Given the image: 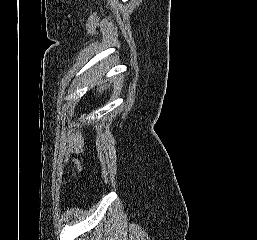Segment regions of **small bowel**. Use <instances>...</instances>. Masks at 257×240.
I'll return each mask as SVG.
<instances>
[{"label": "small bowel", "instance_id": "small-bowel-1", "mask_svg": "<svg viewBox=\"0 0 257 240\" xmlns=\"http://www.w3.org/2000/svg\"><path fill=\"white\" fill-rule=\"evenodd\" d=\"M70 149L75 154H80L83 151V139L80 136H76L71 140ZM74 162L80 167V161L75 159Z\"/></svg>", "mask_w": 257, "mask_h": 240}]
</instances>
